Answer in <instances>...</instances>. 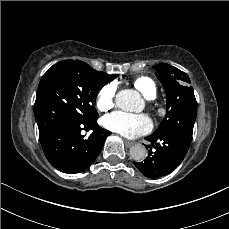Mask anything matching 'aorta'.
<instances>
[{
    "mask_svg": "<svg viewBox=\"0 0 229 229\" xmlns=\"http://www.w3.org/2000/svg\"><path fill=\"white\" fill-rule=\"evenodd\" d=\"M115 102L117 107L131 112H138L143 108V100L140 94L132 89L119 91L116 95ZM130 156L135 161H142L147 156V150L144 145H133L130 148Z\"/></svg>",
    "mask_w": 229,
    "mask_h": 229,
    "instance_id": "1",
    "label": "aorta"
}]
</instances>
